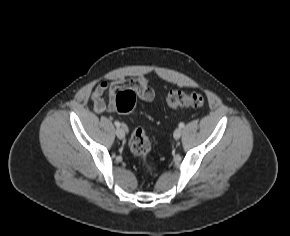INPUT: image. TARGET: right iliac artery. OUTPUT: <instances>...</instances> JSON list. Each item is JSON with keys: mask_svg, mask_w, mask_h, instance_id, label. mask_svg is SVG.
<instances>
[{"mask_svg": "<svg viewBox=\"0 0 290 236\" xmlns=\"http://www.w3.org/2000/svg\"><path fill=\"white\" fill-rule=\"evenodd\" d=\"M115 126L119 127L120 126V123L118 121H115Z\"/></svg>", "mask_w": 290, "mask_h": 236, "instance_id": "1", "label": "right iliac artery"}]
</instances>
